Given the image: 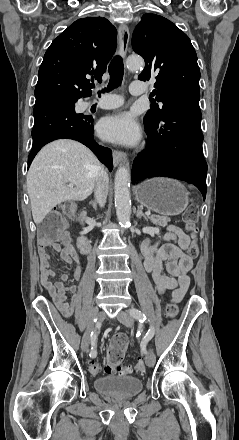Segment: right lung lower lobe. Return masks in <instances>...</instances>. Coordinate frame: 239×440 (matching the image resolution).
<instances>
[{
  "instance_id": "right-lung-lower-lobe-1",
  "label": "right lung lower lobe",
  "mask_w": 239,
  "mask_h": 440,
  "mask_svg": "<svg viewBox=\"0 0 239 440\" xmlns=\"http://www.w3.org/2000/svg\"><path fill=\"white\" fill-rule=\"evenodd\" d=\"M75 103L60 97L37 99L34 106L33 146L28 166L38 151L47 143L67 138L89 147L109 170L113 169L112 152L93 139V118L75 112Z\"/></svg>"
}]
</instances>
